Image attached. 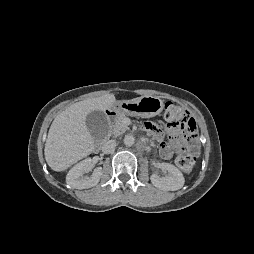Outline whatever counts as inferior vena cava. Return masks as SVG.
<instances>
[{
    "instance_id": "602c4592",
    "label": "inferior vena cava",
    "mask_w": 254,
    "mask_h": 254,
    "mask_svg": "<svg viewBox=\"0 0 254 254\" xmlns=\"http://www.w3.org/2000/svg\"><path fill=\"white\" fill-rule=\"evenodd\" d=\"M115 147L116 141L114 139L108 140L102 145V152L109 154L115 150Z\"/></svg>"
}]
</instances>
